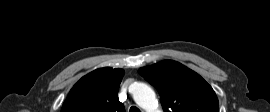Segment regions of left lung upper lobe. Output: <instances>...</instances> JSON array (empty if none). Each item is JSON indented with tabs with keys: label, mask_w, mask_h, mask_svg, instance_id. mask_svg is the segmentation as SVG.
<instances>
[{
	"label": "left lung upper lobe",
	"mask_w": 270,
	"mask_h": 112,
	"mask_svg": "<svg viewBox=\"0 0 270 112\" xmlns=\"http://www.w3.org/2000/svg\"><path fill=\"white\" fill-rule=\"evenodd\" d=\"M159 92L164 112H218L212 87L196 72L179 62L164 60L139 69Z\"/></svg>",
	"instance_id": "obj_1"
}]
</instances>
